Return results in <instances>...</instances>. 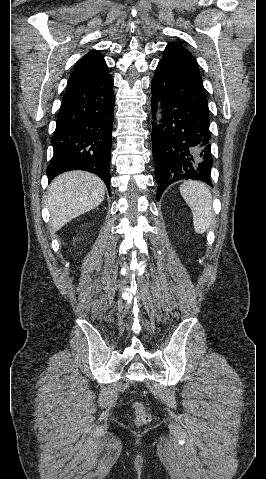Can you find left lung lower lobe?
Segmentation results:
<instances>
[{"mask_svg": "<svg viewBox=\"0 0 266 479\" xmlns=\"http://www.w3.org/2000/svg\"><path fill=\"white\" fill-rule=\"evenodd\" d=\"M152 110L161 100L163 123L153 127L157 200L172 183L196 179L212 186L211 134L203 83L159 62L151 82ZM155 125V123H154Z\"/></svg>", "mask_w": 266, "mask_h": 479, "instance_id": "0a47b994", "label": "left lung lower lobe"}]
</instances>
